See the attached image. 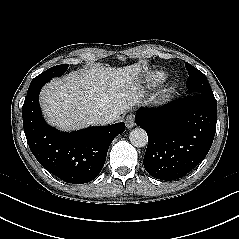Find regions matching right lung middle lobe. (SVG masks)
I'll use <instances>...</instances> for the list:
<instances>
[{
    "label": "right lung middle lobe",
    "mask_w": 239,
    "mask_h": 239,
    "mask_svg": "<svg viewBox=\"0 0 239 239\" xmlns=\"http://www.w3.org/2000/svg\"><path fill=\"white\" fill-rule=\"evenodd\" d=\"M68 66L69 65H57V66L51 67L48 70L41 73L40 75H38L37 77H35L31 83L41 82V81L48 82L53 77L63 75L67 71Z\"/></svg>",
    "instance_id": "dd1d6c3e"
}]
</instances>
